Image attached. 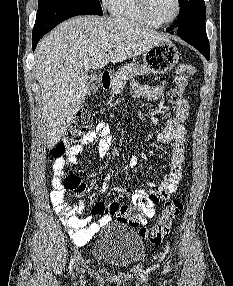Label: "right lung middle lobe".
Here are the masks:
<instances>
[{
	"label": "right lung middle lobe",
	"mask_w": 233,
	"mask_h": 286,
	"mask_svg": "<svg viewBox=\"0 0 233 286\" xmlns=\"http://www.w3.org/2000/svg\"><path fill=\"white\" fill-rule=\"evenodd\" d=\"M60 3L72 4L74 6L88 10L94 15H103L99 0H38L37 16L42 15L48 9Z\"/></svg>",
	"instance_id": "dd1d6c3e"
}]
</instances>
